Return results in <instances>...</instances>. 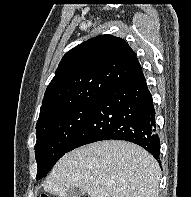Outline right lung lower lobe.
I'll use <instances>...</instances> for the list:
<instances>
[{
  "label": "right lung lower lobe",
  "instance_id": "right-lung-lower-lobe-1",
  "mask_svg": "<svg viewBox=\"0 0 191 197\" xmlns=\"http://www.w3.org/2000/svg\"><path fill=\"white\" fill-rule=\"evenodd\" d=\"M107 139L138 144L159 161L155 109L143 72L116 83L102 95L67 152Z\"/></svg>",
  "mask_w": 191,
  "mask_h": 197
}]
</instances>
